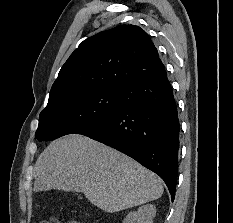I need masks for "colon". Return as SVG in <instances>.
Masks as SVG:
<instances>
[{"label":"colon","instance_id":"5ec220e1","mask_svg":"<svg viewBox=\"0 0 233 223\" xmlns=\"http://www.w3.org/2000/svg\"><path fill=\"white\" fill-rule=\"evenodd\" d=\"M50 223H60V221H58L57 219H52Z\"/></svg>","mask_w":233,"mask_h":223}]
</instances>
